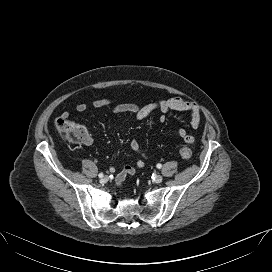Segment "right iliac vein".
I'll return each instance as SVG.
<instances>
[{
	"instance_id": "1",
	"label": "right iliac vein",
	"mask_w": 272,
	"mask_h": 272,
	"mask_svg": "<svg viewBox=\"0 0 272 272\" xmlns=\"http://www.w3.org/2000/svg\"><path fill=\"white\" fill-rule=\"evenodd\" d=\"M108 181V177L107 176H104L100 179V182L101 183H106Z\"/></svg>"
}]
</instances>
